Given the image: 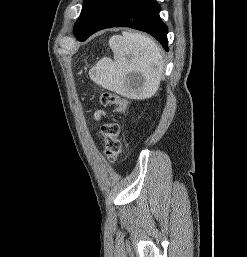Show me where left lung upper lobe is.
I'll list each match as a JSON object with an SVG mask.
<instances>
[{
	"mask_svg": "<svg viewBox=\"0 0 247 257\" xmlns=\"http://www.w3.org/2000/svg\"><path fill=\"white\" fill-rule=\"evenodd\" d=\"M97 0H84V5L80 14V17L78 18L77 22L74 25L73 31L74 34H78L81 29L83 28V25L85 24L86 20L88 19L95 3Z\"/></svg>",
	"mask_w": 247,
	"mask_h": 257,
	"instance_id": "5c2ea615",
	"label": "left lung upper lobe"
}]
</instances>
